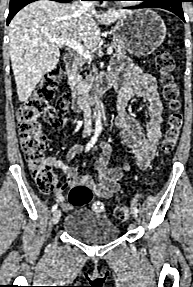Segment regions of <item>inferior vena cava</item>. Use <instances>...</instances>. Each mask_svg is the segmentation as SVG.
Wrapping results in <instances>:
<instances>
[{
  "label": "inferior vena cava",
  "mask_w": 193,
  "mask_h": 287,
  "mask_svg": "<svg viewBox=\"0 0 193 287\" xmlns=\"http://www.w3.org/2000/svg\"><path fill=\"white\" fill-rule=\"evenodd\" d=\"M81 5L84 8H93V4L90 1H82ZM83 106H84V136H90L92 132V119H91V102L88 94L83 95Z\"/></svg>",
  "instance_id": "602c4592"
}]
</instances>
